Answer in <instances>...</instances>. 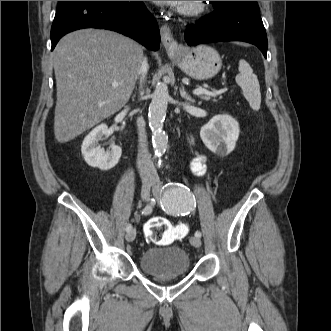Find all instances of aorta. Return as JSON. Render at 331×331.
Returning a JSON list of instances; mask_svg holds the SVG:
<instances>
[{
	"label": "aorta",
	"instance_id": "aorta-1",
	"mask_svg": "<svg viewBox=\"0 0 331 331\" xmlns=\"http://www.w3.org/2000/svg\"><path fill=\"white\" fill-rule=\"evenodd\" d=\"M169 100L168 87L161 82L156 85L149 105L148 120L152 131L155 154L160 157L167 149L168 136L163 130Z\"/></svg>",
	"mask_w": 331,
	"mask_h": 331
}]
</instances>
